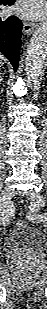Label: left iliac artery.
Returning a JSON list of instances; mask_svg holds the SVG:
<instances>
[{"label":"left iliac artery","instance_id":"obj_1","mask_svg":"<svg viewBox=\"0 0 47 309\" xmlns=\"http://www.w3.org/2000/svg\"><path fill=\"white\" fill-rule=\"evenodd\" d=\"M30 217H31V220H35V221H46V219H47L46 214H44V215H32Z\"/></svg>","mask_w":47,"mask_h":309}]
</instances>
